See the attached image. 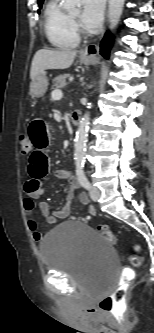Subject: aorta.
I'll use <instances>...</instances> for the list:
<instances>
[{"instance_id":"762f6f07","label":"aorta","mask_w":154,"mask_h":333,"mask_svg":"<svg viewBox=\"0 0 154 333\" xmlns=\"http://www.w3.org/2000/svg\"><path fill=\"white\" fill-rule=\"evenodd\" d=\"M125 0H109V11H108V19H109V28L114 30L118 25ZM80 0H65L64 8L68 11L79 10ZM90 114L86 112L82 117L78 131L76 133L75 138V151H74V159L75 165L77 169H80L84 166L85 162V151H86V142L88 136Z\"/></svg>"}]
</instances>
